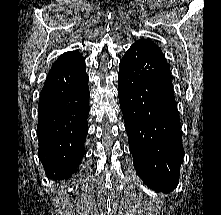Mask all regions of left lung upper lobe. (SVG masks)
I'll return each mask as SVG.
<instances>
[{
    "mask_svg": "<svg viewBox=\"0 0 221 215\" xmlns=\"http://www.w3.org/2000/svg\"><path fill=\"white\" fill-rule=\"evenodd\" d=\"M136 43L144 45V46H148L150 48H152L153 50H155L161 57H163L165 59L164 54L162 53V51L159 49V47L154 44L153 42H150L148 40H144V39H140L138 40Z\"/></svg>",
    "mask_w": 221,
    "mask_h": 215,
    "instance_id": "obj_1",
    "label": "left lung upper lobe"
}]
</instances>
